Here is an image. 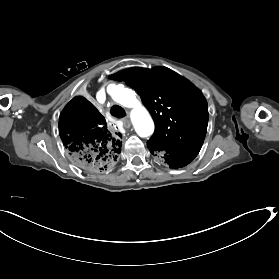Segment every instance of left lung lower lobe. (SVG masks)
I'll return each instance as SVG.
<instances>
[{"label": "left lung lower lobe", "instance_id": "obj_1", "mask_svg": "<svg viewBox=\"0 0 279 279\" xmlns=\"http://www.w3.org/2000/svg\"><path fill=\"white\" fill-rule=\"evenodd\" d=\"M147 147L153 155H158L171 168H180L189 164L199 153L192 149L161 147L147 142Z\"/></svg>", "mask_w": 279, "mask_h": 279}]
</instances>
